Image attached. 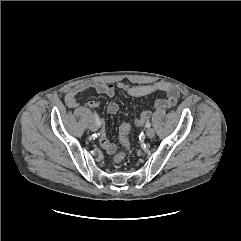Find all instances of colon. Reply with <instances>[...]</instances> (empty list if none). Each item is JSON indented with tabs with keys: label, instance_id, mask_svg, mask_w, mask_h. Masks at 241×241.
<instances>
[{
	"label": "colon",
	"instance_id": "colon-1",
	"mask_svg": "<svg viewBox=\"0 0 241 241\" xmlns=\"http://www.w3.org/2000/svg\"><path fill=\"white\" fill-rule=\"evenodd\" d=\"M129 134L130 125L126 122L122 123L119 129V140L123 147V150L115 154L113 159L116 163L122 162L126 157V151L129 149L130 146Z\"/></svg>",
	"mask_w": 241,
	"mask_h": 241
}]
</instances>
